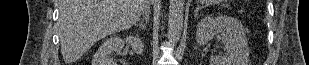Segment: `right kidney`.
I'll list each match as a JSON object with an SVG mask.
<instances>
[{"label":"right kidney","instance_id":"1","mask_svg":"<svg viewBox=\"0 0 309 65\" xmlns=\"http://www.w3.org/2000/svg\"><path fill=\"white\" fill-rule=\"evenodd\" d=\"M130 46L136 54H142L144 50V43L139 37L127 36L122 38L114 36L108 38L98 49L92 61L93 65H116L115 58L111 57V53L119 54L124 45Z\"/></svg>","mask_w":309,"mask_h":65}]
</instances>
